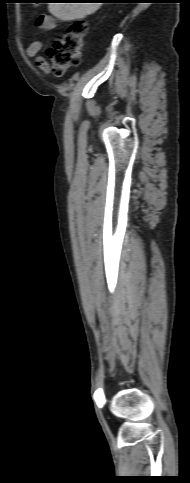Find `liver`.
I'll use <instances>...</instances> for the list:
<instances>
[{
  "label": "liver",
  "instance_id": "1",
  "mask_svg": "<svg viewBox=\"0 0 190 483\" xmlns=\"http://www.w3.org/2000/svg\"><path fill=\"white\" fill-rule=\"evenodd\" d=\"M102 3H49V11L61 21L83 18L97 11Z\"/></svg>",
  "mask_w": 190,
  "mask_h": 483
}]
</instances>
